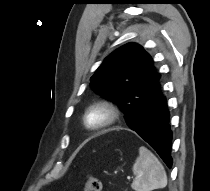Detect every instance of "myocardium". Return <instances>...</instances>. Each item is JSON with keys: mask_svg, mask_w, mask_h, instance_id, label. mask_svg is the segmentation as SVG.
Listing matches in <instances>:
<instances>
[{"mask_svg": "<svg viewBox=\"0 0 210 191\" xmlns=\"http://www.w3.org/2000/svg\"><path fill=\"white\" fill-rule=\"evenodd\" d=\"M97 109L103 110L106 113L107 117L103 123L97 126H89L87 124V118L92 111ZM121 115V109L116 103L105 99L98 100L90 104L83 112L82 125L83 128L89 132L103 131L117 124L121 119Z\"/></svg>", "mask_w": 210, "mask_h": 191, "instance_id": "myocardium-1", "label": "myocardium"}]
</instances>
